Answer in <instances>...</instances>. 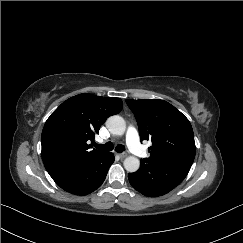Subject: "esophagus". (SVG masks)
Returning <instances> with one entry per match:
<instances>
[{
  "label": "esophagus",
  "instance_id": "obj_1",
  "mask_svg": "<svg viewBox=\"0 0 243 243\" xmlns=\"http://www.w3.org/2000/svg\"><path fill=\"white\" fill-rule=\"evenodd\" d=\"M120 156V158H125L127 156L126 152H122L120 154H118Z\"/></svg>",
  "mask_w": 243,
  "mask_h": 243
}]
</instances>
